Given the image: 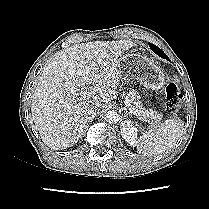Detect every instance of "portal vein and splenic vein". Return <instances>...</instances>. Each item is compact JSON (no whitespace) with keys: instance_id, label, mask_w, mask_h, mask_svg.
Masks as SVG:
<instances>
[{"instance_id":"portal-vein-and-splenic-vein-1","label":"portal vein and splenic vein","mask_w":209,"mask_h":209,"mask_svg":"<svg viewBox=\"0 0 209 209\" xmlns=\"http://www.w3.org/2000/svg\"><path fill=\"white\" fill-rule=\"evenodd\" d=\"M80 94H81V96H82V99H84V100H87V99L91 98V96H92V92H91V91H86V90H82V91L80 92ZM125 105L129 108V110H130L131 113H133V114L135 113V110L132 109V108L127 104V102H125Z\"/></svg>"}]
</instances>
